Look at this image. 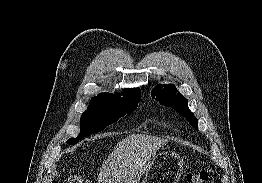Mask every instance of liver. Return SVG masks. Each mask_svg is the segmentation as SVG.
I'll return each instance as SVG.
<instances>
[{
  "instance_id": "6515ba94",
  "label": "liver",
  "mask_w": 262,
  "mask_h": 183,
  "mask_svg": "<svg viewBox=\"0 0 262 183\" xmlns=\"http://www.w3.org/2000/svg\"><path fill=\"white\" fill-rule=\"evenodd\" d=\"M167 142L151 135H129L119 142L103 163L99 183H137L157 150Z\"/></svg>"
}]
</instances>
